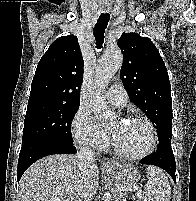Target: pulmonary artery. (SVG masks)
I'll return each instance as SVG.
<instances>
[{
    "mask_svg": "<svg viewBox=\"0 0 196 201\" xmlns=\"http://www.w3.org/2000/svg\"><path fill=\"white\" fill-rule=\"evenodd\" d=\"M106 97L116 107H124L128 100L126 90L121 85H113L110 87L106 92Z\"/></svg>",
    "mask_w": 196,
    "mask_h": 201,
    "instance_id": "pulmonary-artery-1",
    "label": "pulmonary artery"
}]
</instances>
